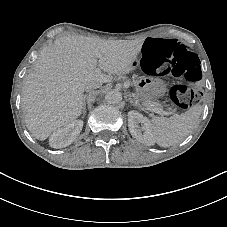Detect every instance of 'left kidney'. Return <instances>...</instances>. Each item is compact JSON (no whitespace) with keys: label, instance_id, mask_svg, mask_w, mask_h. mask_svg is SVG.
I'll use <instances>...</instances> for the list:
<instances>
[{"label":"left kidney","instance_id":"obj_1","mask_svg":"<svg viewBox=\"0 0 227 227\" xmlns=\"http://www.w3.org/2000/svg\"><path fill=\"white\" fill-rule=\"evenodd\" d=\"M140 123L142 127L139 126ZM128 127L132 137L139 142L147 146H151L155 143L148 118L144 117L139 112L134 110L128 112ZM142 131H144L143 134Z\"/></svg>","mask_w":227,"mask_h":227}]
</instances>
